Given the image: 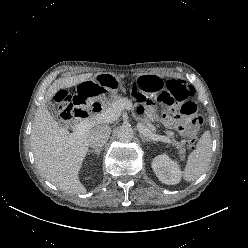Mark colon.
<instances>
[{"label":"colon","mask_w":248,"mask_h":248,"mask_svg":"<svg viewBox=\"0 0 248 248\" xmlns=\"http://www.w3.org/2000/svg\"><path fill=\"white\" fill-rule=\"evenodd\" d=\"M134 98L140 103H147L149 101L148 93L140 86H136L132 90ZM195 95L194 88L187 84L185 80L173 79L166 84V89L161 91L157 100L164 105H172L175 102L181 103L179 113L187 120L184 122L189 127L188 131V146L194 147L197 141L196 129L202 122L201 117L197 113L196 104L191 101ZM57 109L60 118L65 122H70L83 113L82 104L73 101L67 94L60 92L55 97Z\"/></svg>","instance_id":"1"}]
</instances>
